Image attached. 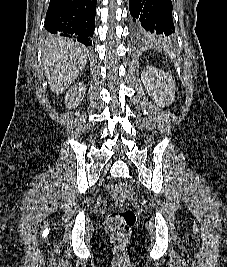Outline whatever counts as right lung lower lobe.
Returning a JSON list of instances; mask_svg holds the SVG:
<instances>
[{"instance_id":"obj_1","label":"right lung lower lobe","mask_w":227,"mask_h":267,"mask_svg":"<svg viewBox=\"0 0 227 267\" xmlns=\"http://www.w3.org/2000/svg\"><path fill=\"white\" fill-rule=\"evenodd\" d=\"M97 0H50L45 29L53 34L75 38L92 45Z\"/></svg>"}]
</instances>
